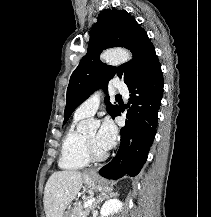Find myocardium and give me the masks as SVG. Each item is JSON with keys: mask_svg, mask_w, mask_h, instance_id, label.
Masks as SVG:
<instances>
[{"mask_svg": "<svg viewBox=\"0 0 211 217\" xmlns=\"http://www.w3.org/2000/svg\"><path fill=\"white\" fill-rule=\"evenodd\" d=\"M83 145H84L85 154H86L87 158L89 159V161L99 162V161L105 160L108 157L107 152H105V151H103V152L96 151L93 148L92 144L85 137V135H83Z\"/></svg>", "mask_w": 211, "mask_h": 217, "instance_id": "f54148a6", "label": "myocardium"}]
</instances>
